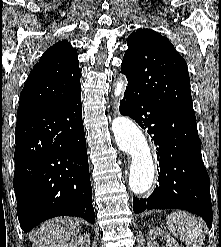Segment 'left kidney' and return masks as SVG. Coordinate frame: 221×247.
<instances>
[{"label":"left kidney","instance_id":"obj_1","mask_svg":"<svg viewBox=\"0 0 221 247\" xmlns=\"http://www.w3.org/2000/svg\"><path fill=\"white\" fill-rule=\"evenodd\" d=\"M157 236H159L161 239H164L167 246L169 247H180L178 242L172 236L159 228H153L152 230H150L147 236L148 247H158L157 243L155 242V238Z\"/></svg>","mask_w":221,"mask_h":247}]
</instances>
